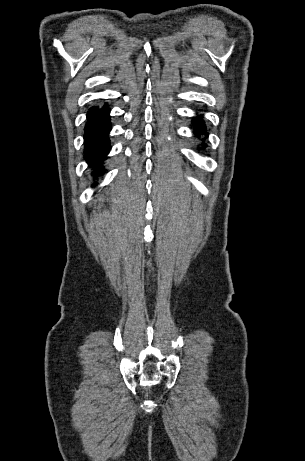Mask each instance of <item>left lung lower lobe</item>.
I'll return each instance as SVG.
<instances>
[{
    "label": "left lung lower lobe",
    "instance_id": "obj_1",
    "mask_svg": "<svg viewBox=\"0 0 305 461\" xmlns=\"http://www.w3.org/2000/svg\"><path fill=\"white\" fill-rule=\"evenodd\" d=\"M193 124L196 126L195 130L197 136H200V134H206V127L204 126V122L201 117L194 119Z\"/></svg>",
    "mask_w": 305,
    "mask_h": 461
}]
</instances>
